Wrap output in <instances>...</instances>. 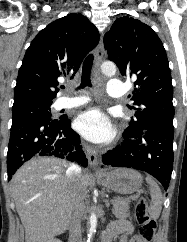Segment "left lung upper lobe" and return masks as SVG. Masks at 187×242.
<instances>
[{
    "mask_svg": "<svg viewBox=\"0 0 187 242\" xmlns=\"http://www.w3.org/2000/svg\"><path fill=\"white\" fill-rule=\"evenodd\" d=\"M108 58L122 76L136 78L132 100L138 107L126 133L148 129L174 130L173 86L164 46L140 20L118 18L104 36Z\"/></svg>",
    "mask_w": 187,
    "mask_h": 242,
    "instance_id": "obj_1",
    "label": "left lung upper lobe"
}]
</instances>
